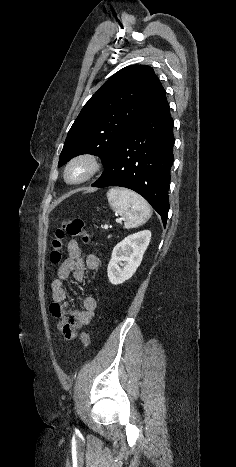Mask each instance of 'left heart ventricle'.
<instances>
[{
	"instance_id": "1",
	"label": "left heart ventricle",
	"mask_w": 236,
	"mask_h": 467,
	"mask_svg": "<svg viewBox=\"0 0 236 467\" xmlns=\"http://www.w3.org/2000/svg\"><path fill=\"white\" fill-rule=\"evenodd\" d=\"M85 172V166L83 164H77L70 169L68 179L70 181L78 180L85 174Z\"/></svg>"
}]
</instances>
